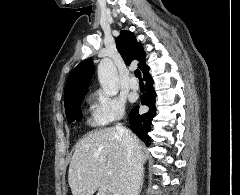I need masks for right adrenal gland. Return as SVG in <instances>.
Segmentation results:
<instances>
[{
  "instance_id": "2a0ac1e0",
  "label": "right adrenal gland",
  "mask_w": 240,
  "mask_h": 195,
  "mask_svg": "<svg viewBox=\"0 0 240 195\" xmlns=\"http://www.w3.org/2000/svg\"><path fill=\"white\" fill-rule=\"evenodd\" d=\"M143 181H144V173H143V175H142V181H141V185H140L139 191H141V189H142V187H143Z\"/></svg>"
}]
</instances>
